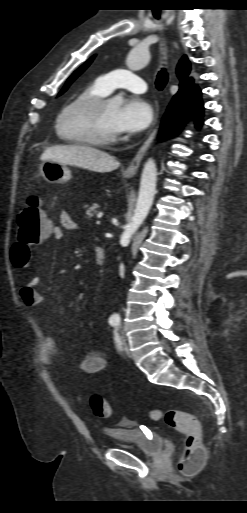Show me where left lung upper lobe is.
<instances>
[{
  "label": "left lung upper lobe",
  "mask_w": 247,
  "mask_h": 513,
  "mask_svg": "<svg viewBox=\"0 0 247 513\" xmlns=\"http://www.w3.org/2000/svg\"><path fill=\"white\" fill-rule=\"evenodd\" d=\"M94 56L91 57L86 63H84L79 69H77L70 77L69 79L67 80L65 86L63 87V89L61 90V92L59 93V95H61L62 93H64L67 88L69 87V85L80 75L84 72V70L91 64L92 60H93Z\"/></svg>",
  "instance_id": "1"
}]
</instances>
